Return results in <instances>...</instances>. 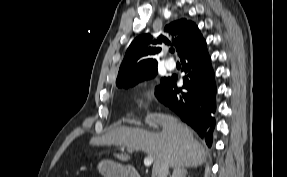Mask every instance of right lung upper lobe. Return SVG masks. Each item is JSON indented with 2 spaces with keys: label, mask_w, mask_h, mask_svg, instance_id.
<instances>
[{
  "label": "right lung upper lobe",
  "mask_w": 287,
  "mask_h": 177,
  "mask_svg": "<svg viewBox=\"0 0 287 177\" xmlns=\"http://www.w3.org/2000/svg\"><path fill=\"white\" fill-rule=\"evenodd\" d=\"M164 32L158 38L142 34L132 41L120 66L116 84L139 79L156 70L161 44L174 45L180 55L190 39L200 31L195 23L181 19L168 24Z\"/></svg>",
  "instance_id": "right-lung-upper-lobe-1"
}]
</instances>
